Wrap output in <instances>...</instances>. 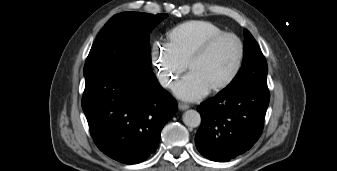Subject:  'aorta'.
Masks as SVG:
<instances>
[{
    "label": "aorta",
    "mask_w": 337,
    "mask_h": 171,
    "mask_svg": "<svg viewBox=\"0 0 337 171\" xmlns=\"http://www.w3.org/2000/svg\"><path fill=\"white\" fill-rule=\"evenodd\" d=\"M183 122L186 126L196 128L201 123V117L198 111L196 110H187L183 114Z\"/></svg>",
    "instance_id": "aorta-1"
}]
</instances>
